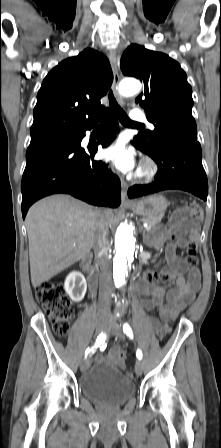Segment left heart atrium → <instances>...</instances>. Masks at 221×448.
<instances>
[{"instance_id":"1","label":"left heart atrium","mask_w":221,"mask_h":448,"mask_svg":"<svg viewBox=\"0 0 221 448\" xmlns=\"http://www.w3.org/2000/svg\"><path fill=\"white\" fill-rule=\"evenodd\" d=\"M104 156L123 173L131 172L137 168V162L133 151L121 141L106 148Z\"/></svg>"}]
</instances>
